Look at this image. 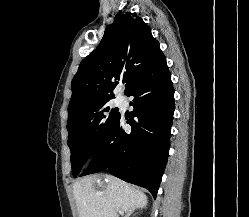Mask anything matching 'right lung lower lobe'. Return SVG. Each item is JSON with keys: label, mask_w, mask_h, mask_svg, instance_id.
<instances>
[{"label": "right lung lower lobe", "mask_w": 249, "mask_h": 217, "mask_svg": "<svg viewBox=\"0 0 249 217\" xmlns=\"http://www.w3.org/2000/svg\"><path fill=\"white\" fill-rule=\"evenodd\" d=\"M134 107L125 132L119 116L100 148L93 154L84 176L108 169L129 183L148 189L154 198L164 173L174 113V89L163 53L129 88Z\"/></svg>", "instance_id": "obj_1"}]
</instances>
